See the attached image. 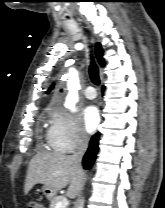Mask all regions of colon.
I'll return each instance as SVG.
<instances>
[{
  "instance_id": "5ec220e1",
  "label": "colon",
  "mask_w": 165,
  "mask_h": 208,
  "mask_svg": "<svg viewBox=\"0 0 165 208\" xmlns=\"http://www.w3.org/2000/svg\"><path fill=\"white\" fill-rule=\"evenodd\" d=\"M28 208H43V206L39 202L33 201L28 204Z\"/></svg>"
}]
</instances>
